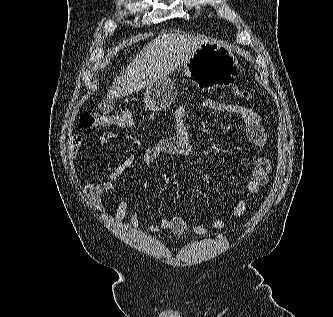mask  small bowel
I'll return each instance as SVG.
<instances>
[{
    "label": "small bowel",
    "instance_id": "small-bowel-1",
    "mask_svg": "<svg viewBox=\"0 0 333 317\" xmlns=\"http://www.w3.org/2000/svg\"><path fill=\"white\" fill-rule=\"evenodd\" d=\"M200 107L210 111L229 113L238 117L244 122L245 132L249 142L257 148H263L266 145L267 133L262 125L260 115L255 110L237 104H229L212 99L201 101ZM187 114V109L184 106H180L175 110V134L148 146L140 157L142 164L151 165L164 156L179 155L190 157L193 155L194 150L185 123ZM120 138L122 137L115 133L104 132L98 137V143L104 145L111 140ZM84 143L85 138L79 134L74 135L70 139L68 156L72 162H74L79 155V150ZM136 161L137 156L134 153H131L111 170L108 176V181H92L84 186L85 195L98 210H102L103 208L101 202L103 195L111 193L117 197L118 204L115 210V220L118 223H121L126 218L130 212V208L128 202L116 190L114 182L123 174V172L133 166ZM271 171L272 164L267 157H259L253 162L249 179L246 184V191L239 196L233 207V217L238 218L245 213L249 202L258 193L259 188L265 186L269 182ZM130 223L133 228L139 226V220L135 208L130 214ZM225 224V219L222 217H217L212 222L213 228L219 230L223 229ZM159 230H170L179 235L187 234L190 231L197 235H204L208 232V228L205 225H189L180 215H175L171 218H163L159 222H152L148 225V231L151 233H156Z\"/></svg>",
    "mask_w": 333,
    "mask_h": 317
}]
</instances>
